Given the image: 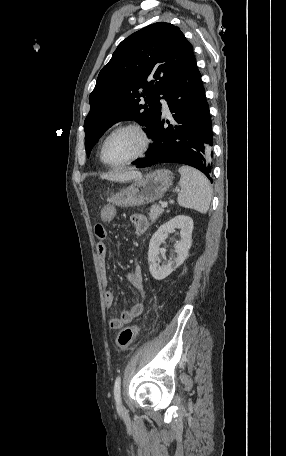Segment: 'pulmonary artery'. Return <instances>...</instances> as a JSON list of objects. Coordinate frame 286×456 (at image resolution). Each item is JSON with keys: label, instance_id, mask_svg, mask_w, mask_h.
<instances>
[{"label": "pulmonary artery", "instance_id": "e3ab8cb5", "mask_svg": "<svg viewBox=\"0 0 286 456\" xmlns=\"http://www.w3.org/2000/svg\"><path fill=\"white\" fill-rule=\"evenodd\" d=\"M162 109L165 114L169 113V109L165 100H162Z\"/></svg>", "mask_w": 286, "mask_h": 456}]
</instances>
